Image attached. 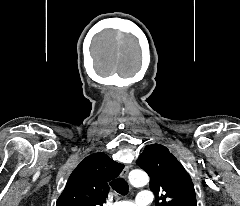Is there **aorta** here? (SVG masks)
<instances>
[{
    "mask_svg": "<svg viewBox=\"0 0 240 206\" xmlns=\"http://www.w3.org/2000/svg\"><path fill=\"white\" fill-rule=\"evenodd\" d=\"M129 181L135 187H141L148 183V175L141 170H133L129 174Z\"/></svg>",
    "mask_w": 240,
    "mask_h": 206,
    "instance_id": "obj_1",
    "label": "aorta"
}]
</instances>
